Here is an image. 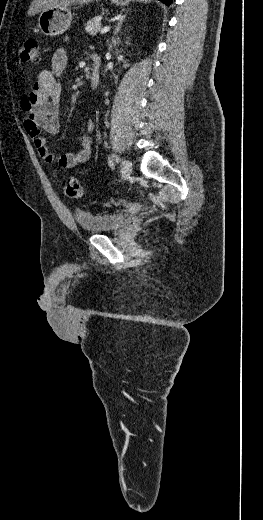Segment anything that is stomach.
I'll return each instance as SVG.
<instances>
[{
  "label": "stomach",
  "instance_id": "0dacf381",
  "mask_svg": "<svg viewBox=\"0 0 263 520\" xmlns=\"http://www.w3.org/2000/svg\"><path fill=\"white\" fill-rule=\"evenodd\" d=\"M112 3L124 6L133 0H111ZM72 14L68 7H52L42 11L38 17V28L50 37L65 33L71 25Z\"/></svg>",
  "mask_w": 263,
  "mask_h": 520
}]
</instances>
